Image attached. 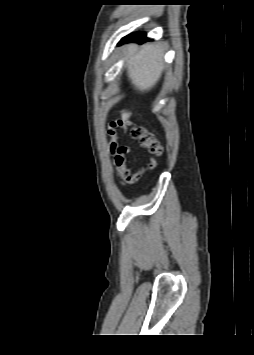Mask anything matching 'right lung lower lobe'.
Returning a JSON list of instances; mask_svg holds the SVG:
<instances>
[{"label": "right lung lower lobe", "instance_id": "98d812e1", "mask_svg": "<svg viewBox=\"0 0 254 355\" xmlns=\"http://www.w3.org/2000/svg\"><path fill=\"white\" fill-rule=\"evenodd\" d=\"M147 40L148 39L146 38L144 33H135L124 37L120 43L129 42V41H137L139 43H142Z\"/></svg>", "mask_w": 254, "mask_h": 355}]
</instances>
